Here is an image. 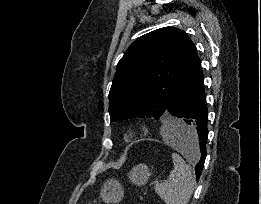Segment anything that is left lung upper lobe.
Returning a JSON list of instances; mask_svg holds the SVG:
<instances>
[{"label":"left lung upper lobe","mask_w":261,"mask_h":204,"mask_svg":"<svg viewBox=\"0 0 261 204\" xmlns=\"http://www.w3.org/2000/svg\"><path fill=\"white\" fill-rule=\"evenodd\" d=\"M194 55L193 42L174 27L135 40L117 64L109 92L110 120L160 118Z\"/></svg>","instance_id":"1"}]
</instances>
